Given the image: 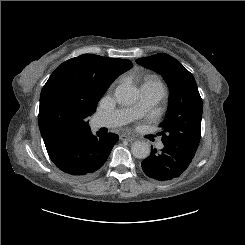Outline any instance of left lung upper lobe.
<instances>
[{
  "mask_svg": "<svg viewBox=\"0 0 245 245\" xmlns=\"http://www.w3.org/2000/svg\"><path fill=\"white\" fill-rule=\"evenodd\" d=\"M144 67L161 73L170 88L169 107L159 125L162 142L194 156L200 141L202 99L193 75L175 58L165 53L137 59Z\"/></svg>",
  "mask_w": 245,
  "mask_h": 245,
  "instance_id": "left-lung-upper-lobe-1",
  "label": "left lung upper lobe"
}]
</instances>
